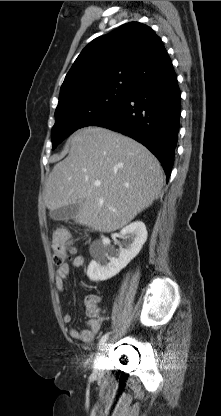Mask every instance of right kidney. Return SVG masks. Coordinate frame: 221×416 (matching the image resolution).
I'll return each mask as SVG.
<instances>
[{"label":"right kidney","instance_id":"obj_1","mask_svg":"<svg viewBox=\"0 0 221 416\" xmlns=\"http://www.w3.org/2000/svg\"><path fill=\"white\" fill-rule=\"evenodd\" d=\"M130 237L131 243L120 249L117 257H109L107 246L101 247L99 256L92 260L87 269V276L92 281H105L118 274L137 256L147 240L146 226L142 221H135L120 231V237ZM107 259L109 262H107Z\"/></svg>","mask_w":221,"mask_h":416}]
</instances>
